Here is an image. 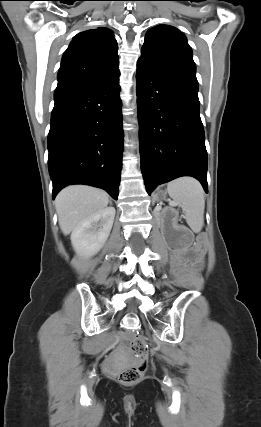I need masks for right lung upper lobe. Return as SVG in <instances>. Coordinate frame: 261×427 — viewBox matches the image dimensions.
<instances>
[{
	"label": "right lung upper lobe",
	"mask_w": 261,
	"mask_h": 427,
	"mask_svg": "<svg viewBox=\"0 0 261 427\" xmlns=\"http://www.w3.org/2000/svg\"><path fill=\"white\" fill-rule=\"evenodd\" d=\"M118 45L111 30L78 33L64 52L54 98L119 73Z\"/></svg>",
	"instance_id": "right-lung-upper-lobe-1"
}]
</instances>
